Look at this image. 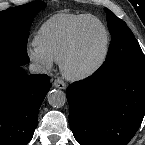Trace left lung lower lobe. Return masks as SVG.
Listing matches in <instances>:
<instances>
[{"instance_id":"1","label":"left lung lower lobe","mask_w":145,"mask_h":145,"mask_svg":"<svg viewBox=\"0 0 145 145\" xmlns=\"http://www.w3.org/2000/svg\"><path fill=\"white\" fill-rule=\"evenodd\" d=\"M69 122L80 145H126L145 115V67L115 70L72 83Z\"/></svg>"}]
</instances>
